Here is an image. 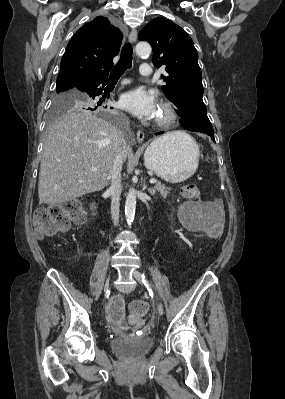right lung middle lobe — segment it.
<instances>
[{
	"label": "right lung middle lobe",
	"mask_w": 285,
	"mask_h": 399,
	"mask_svg": "<svg viewBox=\"0 0 285 399\" xmlns=\"http://www.w3.org/2000/svg\"><path fill=\"white\" fill-rule=\"evenodd\" d=\"M57 93L54 98L53 107L51 111L50 122L53 119L68 110L83 109V110H98L103 111L104 106L97 102L96 97L84 93L80 90L68 88H56Z\"/></svg>",
	"instance_id": "right-lung-middle-lobe-1"
}]
</instances>
